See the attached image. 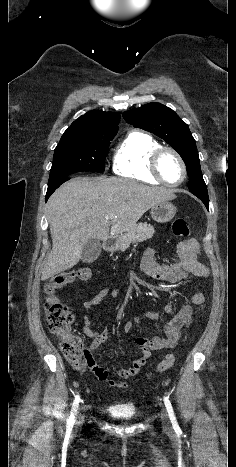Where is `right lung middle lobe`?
Listing matches in <instances>:
<instances>
[{
	"label": "right lung middle lobe",
	"instance_id": "1",
	"mask_svg": "<svg viewBox=\"0 0 236 467\" xmlns=\"http://www.w3.org/2000/svg\"><path fill=\"white\" fill-rule=\"evenodd\" d=\"M116 133H64L54 150L48 183L76 172H103L110 141Z\"/></svg>",
	"mask_w": 236,
	"mask_h": 467
}]
</instances>
